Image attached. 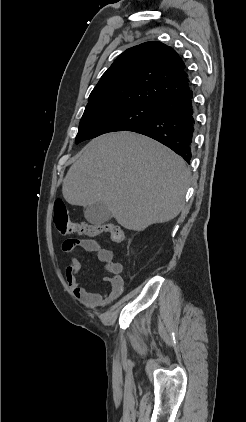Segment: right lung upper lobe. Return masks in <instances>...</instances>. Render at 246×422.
Wrapping results in <instances>:
<instances>
[{
  "instance_id": "cb5924a9",
  "label": "right lung upper lobe",
  "mask_w": 246,
  "mask_h": 422,
  "mask_svg": "<svg viewBox=\"0 0 246 422\" xmlns=\"http://www.w3.org/2000/svg\"><path fill=\"white\" fill-rule=\"evenodd\" d=\"M188 90L181 57L172 47L151 41L117 57L92 90L86 107L120 101L158 105Z\"/></svg>"
}]
</instances>
